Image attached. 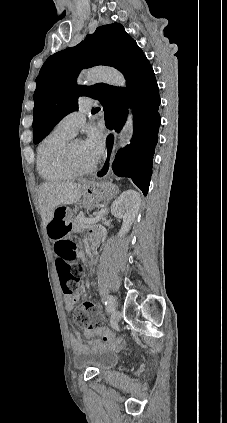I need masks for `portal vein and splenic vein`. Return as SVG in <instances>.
<instances>
[{
	"mask_svg": "<svg viewBox=\"0 0 227 423\" xmlns=\"http://www.w3.org/2000/svg\"><path fill=\"white\" fill-rule=\"evenodd\" d=\"M104 216H105V211L100 210L99 214L96 217H82V221L83 223H94V221H99Z\"/></svg>",
	"mask_w": 227,
	"mask_h": 423,
	"instance_id": "portal-vein-and-splenic-vein-1",
	"label": "portal vein and splenic vein"
}]
</instances>
